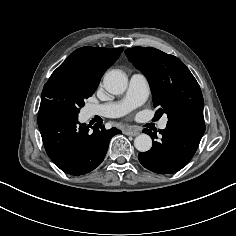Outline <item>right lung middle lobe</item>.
Instances as JSON below:
<instances>
[{"label": "right lung middle lobe", "mask_w": 236, "mask_h": 236, "mask_svg": "<svg viewBox=\"0 0 236 236\" xmlns=\"http://www.w3.org/2000/svg\"><path fill=\"white\" fill-rule=\"evenodd\" d=\"M97 86L81 81L71 74L61 71L52 74L44 85L41 102L56 100L79 113L84 100L92 96Z\"/></svg>", "instance_id": "dd1d6c3e"}]
</instances>
